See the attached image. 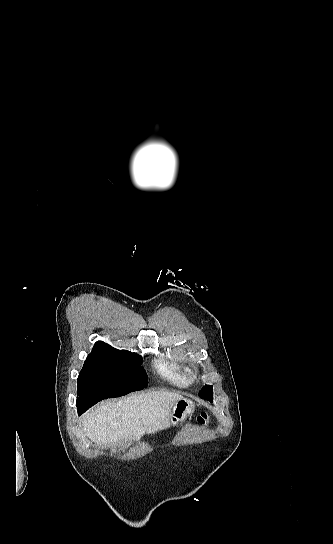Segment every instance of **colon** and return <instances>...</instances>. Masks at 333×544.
Listing matches in <instances>:
<instances>
[{
	"instance_id": "colon-1",
	"label": "colon",
	"mask_w": 333,
	"mask_h": 544,
	"mask_svg": "<svg viewBox=\"0 0 333 544\" xmlns=\"http://www.w3.org/2000/svg\"><path fill=\"white\" fill-rule=\"evenodd\" d=\"M210 421V415L206 412H202L198 418L197 422L199 425L206 426Z\"/></svg>"
}]
</instances>
